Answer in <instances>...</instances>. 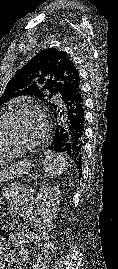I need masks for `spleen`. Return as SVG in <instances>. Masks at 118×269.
Segmentation results:
<instances>
[{"mask_svg": "<svg viewBox=\"0 0 118 269\" xmlns=\"http://www.w3.org/2000/svg\"><path fill=\"white\" fill-rule=\"evenodd\" d=\"M43 165L45 175L48 178H56L66 170L67 162L63 155L52 151H47L45 152V160Z\"/></svg>", "mask_w": 118, "mask_h": 269, "instance_id": "spleen-1", "label": "spleen"}]
</instances>
